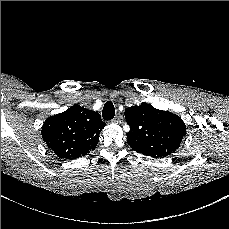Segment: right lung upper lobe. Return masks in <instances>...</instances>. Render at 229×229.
I'll return each mask as SVG.
<instances>
[{
  "mask_svg": "<svg viewBox=\"0 0 229 229\" xmlns=\"http://www.w3.org/2000/svg\"><path fill=\"white\" fill-rule=\"evenodd\" d=\"M105 125L98 112L74 105L45 120L42 138L58 157L75 159L94 150Z\"/></svg>",
  "mask_w": 229,
  "mask_h": 229,
  "instance_id": "cb5924a9",
  "label": "right lung upper lobe"
}]
</instances>
